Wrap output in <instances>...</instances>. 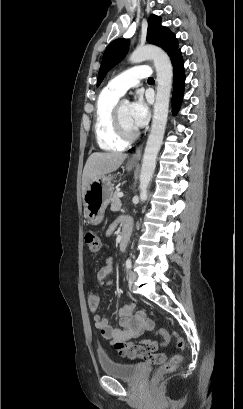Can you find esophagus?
I'll use <instances>...</instances> for the list:
<instances>
[{
	"mask_svg": "<svg viewBox=\"0 0 243 409\" xmlns=\"http://www.w3.org/2000/svg\"><path fill=\"white\" fill-rule=\"evenodd\" d=\"M143 146H144V143H142V144L135 150V152L131 155V157L129 158V162H130V163H138V162H139V160H140V158H141Z\"/></svg>",
	"mask_w": 243,
	"mask_h": 409,
	"instance_id": "34e87169",
	"label": "esophagus"
}]
</instances>
